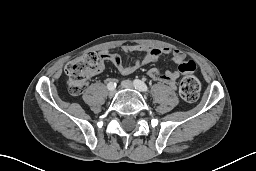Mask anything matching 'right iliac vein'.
I'll list each match as a JSON object with an SVG mask.
<instances>
[{
  "mask_svg": "<svg viewBox=\"0 0 256 171\" xmlns=\"http://www.w3.org/2000/svg\"><path fill=\"white\" fill-rule=\"evenodd\" d=\"M115 93H116V90H115V88H112V89H110L109 90V96H114L115 95Z\"/></svg>",
  "mask_w": 256,
  "mask_h": 171,
  "instance_id": "obj_1",
  "label": "right iliac vein"
}]
</instances>
